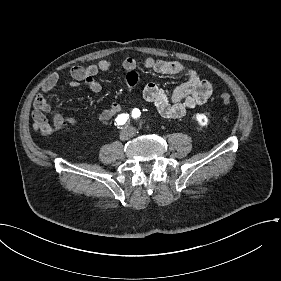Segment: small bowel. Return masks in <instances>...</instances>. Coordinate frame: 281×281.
<instances>
[{
  "label": "small bowel",
  "instance_id": "small-bowel-1",
  "mask_svg": "<svg viewBox=\"0 0 281 281\" xmlns=\"http://www.w3.org/2000/svg\"><path fill=\"white\" fill-rule=\"evenodd\" d=\"M143 65L146 69L166 75H182L186 81L178 86L169 97L154 83L147 84L142 91L143 98L149 102L157 112L164 118L179 119L187 112L198 105L205 103L212 95L215 85L200 75L192 68H189L178 61L159 60L148 57ZM113 66L110 60H100L88 66H73L70 70L72 81L71 87H79L82 84L94 92L99 93L102 85L95 77L101 72L109 71ZM122 68L127 72L126 81L129 90L134 89L139 81L135 59L127 57L121 62ZM59 81V76L53 74L49 76L43 86L42 91L37 94L32 110L33 126L36 131L45 135H51L57 130L64 129L77 123L74 117L61 114L57 109H52L45 95L50 93ZM121 104L112 102L108 108L99 115V120L108 122L121 112ZM51 112L53 120L49 121L46 114Z\"/></svg>",
  "mask_w": 281,
  "mask_h": 281
}]
</instances>
